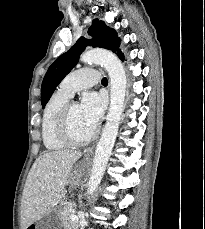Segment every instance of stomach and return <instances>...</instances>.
Returning a JSON list of instances; mask_svg holds the SVG:
<instances>
[{"instance_id":"obj_1","label":"stomach","mask_w":205,"mask_h":229,"mask_svg":"<svg viewBox=\"0 0 205 229\" xmlns=\"http://www.w3.org/2000/svg\"><path fill=\"white\" fill-rule=\"evenodd\" d=\"M87 162L84 160L80 162L70 174V182L74 185L80 183L86 173ZM59 211L52 208L40 220L30 224L27 229H64V226L59 217Z\"/></svg>"}]
</instances>
